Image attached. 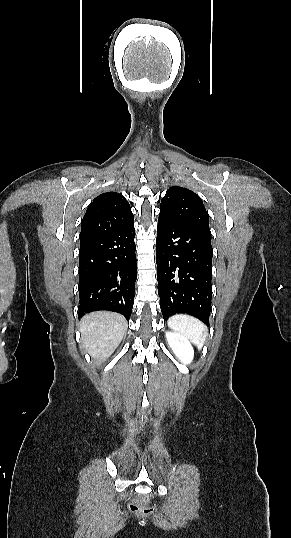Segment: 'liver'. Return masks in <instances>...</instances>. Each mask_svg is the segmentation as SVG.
Instances as JSON below:
<instances>
[{
	"label": "liver",
	"instance_id": "liver-1",
	"mask_svg": "<svg viewBox=\"0 0 291 538\" xmlns=\"http://www.w3.org/2000/svg\"><path fill=\"white\" fill-rule=\"evenodd\" d=\"M127 331L124 316L112 312H93L81 319L82 347L101 362L108 358Z\"/></svg>",
	"mask_w": 291,
	"mask_h": 538
}]
</instances>
